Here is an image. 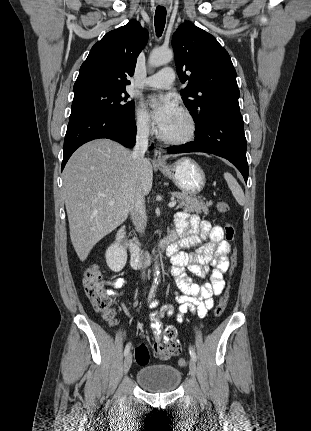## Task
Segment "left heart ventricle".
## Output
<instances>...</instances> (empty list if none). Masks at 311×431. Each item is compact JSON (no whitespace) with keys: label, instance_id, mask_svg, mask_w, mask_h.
Segmentation results:
<instances>
[{"label":"left heart ventricle","instance_id":"obj_1","mask_svg":"<svg viewBox=\"0 0 311 431\" xmlns=\"http://www.w3.org/2000/svg\"><path fill=\"white\" fill-rule=\"evenodd\" d=\"M190 132V122L182 112L163 131L167 138L185 136Z\"/></svg>","mask_w":311,"mask_h":431}]
</instances>
